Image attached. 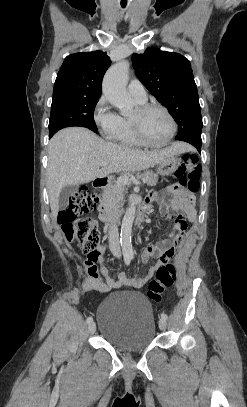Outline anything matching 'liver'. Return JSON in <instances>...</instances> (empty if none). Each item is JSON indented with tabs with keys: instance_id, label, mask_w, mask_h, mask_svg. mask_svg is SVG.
I'll list each match as a JSON object with an SVG mask.
<instances>
[{
	"instance_id": "obj_1",
	"label": "liver",
	"mask_w": 247,
	"mask_h": 407,
	"mask_svg": "<svg viewBox=\"0 0 247 407\" xmlns=\"http://www.w3.org/2000/svg\"><path fill=\"white\" fill-rule=\"evenodd\" d=\"M190 149L186 143L175 142L164 149L142 151L108 143L83 127L62 129L51 138L48 147L47 183L51 217H57L59 195L65 186H78L110 173L145 170ZM103 162L107 165L101 166Z\"/></svg>"
}]
</instances>
